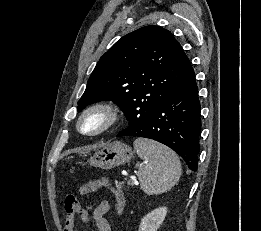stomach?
I'll return each instance as SVG.
<instances>
[{
	"label": "stomach",
	"instance_id": "0dacf381",
	"mask_svg": "<svg viewBox=\"0 0 261 231\" xmlns=\"http://www.w3.org/2000/svg\"><path fill=\"white\" fill-rule=\"evenodd\" d=\"M133 151L128 145L114 141L106 144L101 150L96 151L88 159L91 166L102 169H111L123 165L131 160Z\"/></svg>",
	"mask_w": 261,
	"mask_h": 231
}]
</instances>
